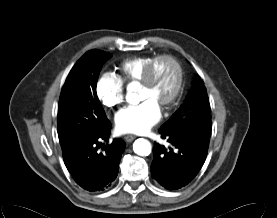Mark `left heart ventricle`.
Segmentation results:
<instances>
[{
    "label": "left heart ventricle",
    "instance_id": "b2bd125f",
    "mask_svg": "<svg viewBox=\"0 0 277 218\" xmlns=\"http://www.w3.org/2000/svg\"><path fill=\"white\" fill-rule=\"evenodd\" d=\"M175 77V69L170 63L167 61L158 62L154 72V81L149 87H141V97L143 99L152 98L160 103L172 89Z\"/></svg>",
    "mask_w": 277,
    "mask_h": 218
}]
</instances>
